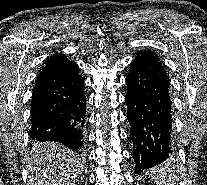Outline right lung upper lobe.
Listing matches in <instances>:
<instances>
[{"label": "right lung upper lobe", "mask_w": 207, "mask_h": 185, "mask_svg": "<svg viewBox=\"0 0 207 185\" xmlns=\"http://www.w3.org/2000/svg\"><path fill=\"white\" fill-rule=\"evenodd\" d=\"M78 72V65L63 56L62 53H55L45 62L38 76L35 88L46 86L52 82L75 75Z\"/></svg>", "instance_id": "obj_1"}]
</instances>
